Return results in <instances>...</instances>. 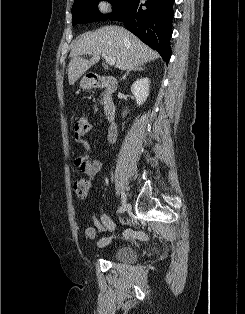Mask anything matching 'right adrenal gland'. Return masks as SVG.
Listing matches in <instances>:
<instances>
[{"instance_id": "obj_1", "label": "right adrenal gland", "mask_w": 245, "mask_h": 314, "mask_svg": "<svg viewBox=\"0 0 245 314\" xmlns=\"http://www.w3.org/2000/svg\"><path fill=\"white\" fill-rule=\"evenodd\" d=\"M142 70H143L142 67H133V68H131V69H129V70L127 71V73L121 78V80H125L126 77L128 76V74H129L131 71L136 72V71H142Z\"/></svg>"}]
</instances>
